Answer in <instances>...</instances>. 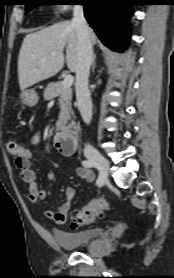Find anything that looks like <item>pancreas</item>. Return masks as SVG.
<instances>
[{
  "label": "pancreas",
  "mask_w": 174,
  "mask_h": 278,
  "mask_svg": "<svg viewBox=\"0 0 174 278\" xmlns=\"http://www.w3.org/2000/svg\"><path fill=\"white\" fill-rule=\"evenodd\" d=\"M44 98L52 100L59 97L60 114L59 119L63 120V125L70 119L72 89L64 88L60 82L50 83L44 90Z\"/></svg>",
  "instance_id": "obj_1"
}]
</instances>
